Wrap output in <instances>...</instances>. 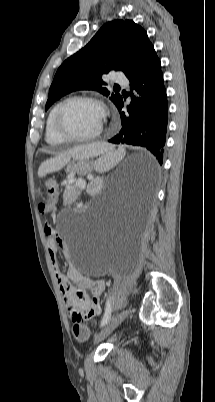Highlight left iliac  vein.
I'll list each match as a JSON object with an SVG mask.
<instances>
[{
	"mask_svg": "<svg viewBox=\"0 0 215 402\" xmlns=\"http://www.w3.org/2000/svg\"><path fill=\"white\" fill-rule=\"evenodd\" d=\"M131 313L130 309L123 310L120 314L114 317L94 338V343L97 344L106 338L125 318Z\"/></svg>",
	"mask_w": 215,
	"mask_h": 402,
	"instance_id": "left-iliac-vein-1",
	"label": "left iliac vein"
}]
</instances>
